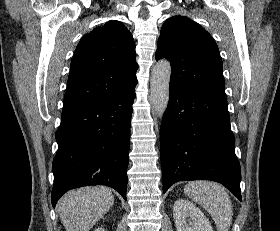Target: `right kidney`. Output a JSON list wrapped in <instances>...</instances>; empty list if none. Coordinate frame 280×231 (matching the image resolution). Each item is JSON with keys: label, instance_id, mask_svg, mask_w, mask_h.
I'll list each match as a JSON object with an SVG mask.
<instances>
[{"label": "right kidney", "instance_id": "ca27d5eb", "mask_svg": "<svg viewBox=\"0 0 280 231\" xmlns=\"http://www.w3.org/2000/svg\"><path fill=\"white\" fill-rule=\"evenodd\" d=\"M94 231H105V229H103V227H97V229H94Z\"/></svg>", "mask_w": 280, "mask_h": 231}]
</instances>
